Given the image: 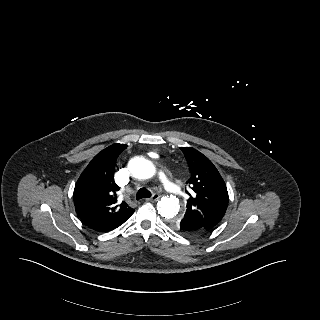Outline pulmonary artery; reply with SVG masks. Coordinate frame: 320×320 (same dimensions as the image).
Masks as SVG:
<instances>
[{
  "mask_svg": "<svg viewBox=\"0 0 320 320\" xmlns=\"http://www.w3.org/2000/svg\"><path fill=\"white\" fill-rule=\"evenodd\" d=\"M158 178H159L160 182L162 183V185L165 187V189H167L168 191L173 192V193H179L178 188L173 183L170 182V180L167 178L164 171H162V170L158 171Z\"/></svg>",
  "mask_w": 320,
  "mask_h": 320,
  "instance_id": "e3ab8cb5",
  "label": "pulmonary artery"
}]
</instances>
